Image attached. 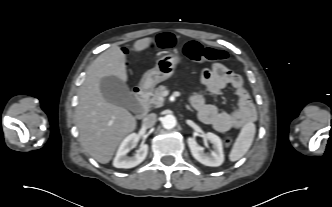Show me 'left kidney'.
Listing matches in <instances>:
<instances>
[{"instance_id": "obj_1", "label": "left kidney", "mask_w": 332, "mask_h": 207, "mask_svg": "<svg viewBox=\"0 0 332 207\" xmlns=\"http://www.w3.org/2000/svg\"><path fill=\"white\" fill-rule=\"evenodd\" d=\"M205 139L213 144V150L210 155L204 153V148L198 146L194 138L192 137L188 138L187 142L192 156L203 165L211 167L220 166L224 161L221 139L217 135L211 132L205 134Z\"/></svg>"}]
</instances>
